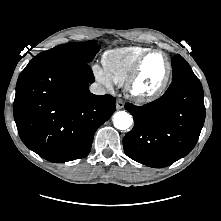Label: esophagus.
Instances as JSON below:
<instances>
[{
    "instance_id": "34e87169",
    "label": "esophagus",
    "mask_w": 221,
    "mask_h": 221,
    "mask_svg": "<svg viewBox=\"0 0 221 221\" xmlns=\"http://www.w3.org/2000/svg\"><path fill=\"white\" fill-rule=\"evenodd\" d=\"M124 105H125V103H124V101L122 99H117L116 100V109L117 110L123 109Z\"/></svg>"
}]
</instances>
